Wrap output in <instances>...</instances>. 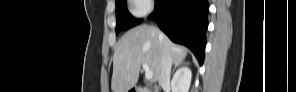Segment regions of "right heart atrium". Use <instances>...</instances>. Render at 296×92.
Segmentation results:
<instances>
[{"label":"right heart atrium","mask_w":296,"mask_h":92,"mask_svg":"<svg viewBox=\"0 0 296 92\" xmlns=\"http://www.w3.org/2000/svg\"><path fill=\"white\" fill-rule=\"evenodd\" d=\"M153 7L150 0H132L130 1V12L135 17L141 18L148 15Z\"/></svg>","instance_id":"right-heart-atrium-1"}]
</instances>
